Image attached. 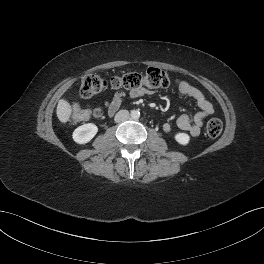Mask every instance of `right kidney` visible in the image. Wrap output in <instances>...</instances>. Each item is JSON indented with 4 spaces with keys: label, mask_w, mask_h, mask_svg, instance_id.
I'll return each instance as SVG.
<instances>
[{
    "label": "right kidney",
    "mask_w": 264,
    "mask_h": 264,
    "mask_svg": "<svg viewBox=\"0 0 264 264\" xmlns=\"http://www.w3.org/2000/svg\"><path fill=\"white\" fill-rule=\"evenodd\" d=\"M98 127L93 123L79 126L73 132V140L78 144L88 143L97 134Z\"/></svg>",
    "instance_id": "ca27d5eb"
}]
</instances>
